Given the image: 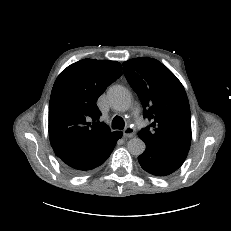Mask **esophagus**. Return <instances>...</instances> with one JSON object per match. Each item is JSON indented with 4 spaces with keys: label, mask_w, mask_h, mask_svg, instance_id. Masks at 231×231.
I'll return each mask as SVG.
<instances>
[{
    "label": "esophagus",
    "mask_w": 231,
    "mask_h": 231,
    "mask_svg": "<svg viewBox=\"0 0 231 231\" xmlns=\"http://www.w3.org/2000/svg\"><path fill=\"white\" fill-rule=\"evenodd\" d=\"M123 135H124V137L131 138V137H133L135 135V129L132 128V127H126L123 130Z\"/></svg>",
    "instance_id": "1"
}]
</instances>
